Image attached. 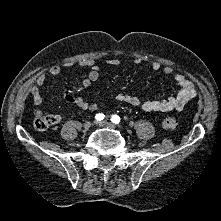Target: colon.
<instances>
[{"label":"colon","instance_id":"5ec220e1","mask_svg":"<svg viewBox=\"0 0 221 221\" xmlns=\"http://www.w3.org/2000/svg\"><path fill=\"white\" fill-rule=\"evenodd\" d=\"M57 122L58 119L56 115H39L34 121V127L39 131H43ZM177 126L178 122L174 117H166L163 120V127L167 130H173L177 128Z\"/></svg>","mask_w":221,"mask_h":221}]
</instances>
